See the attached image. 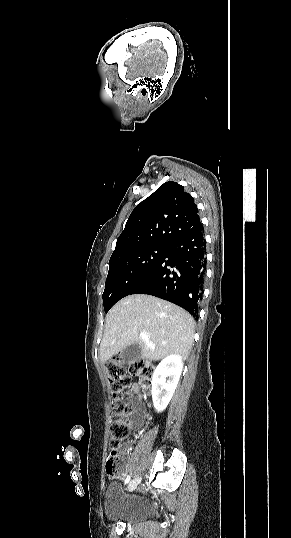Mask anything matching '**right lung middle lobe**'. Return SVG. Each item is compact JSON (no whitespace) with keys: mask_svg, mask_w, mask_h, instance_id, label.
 Returning <instances> with one entry per match:
<instances>
[{"mask_svg":"<svg viewBox=\"0 0 291 538\" xmlns=\"http://www.w3.org/2000/svg\"><path fill=\"white\" fill-rule=\"evenodd\" d=\"M168 248L167 245L146 246L110 258L109 273L103 293L106 313L147 277Z\"/></svg>","mask_w":291,"mask_h":538,"instance_id":"obj_1","label":"right lung middle lobe"}]
</instances>
